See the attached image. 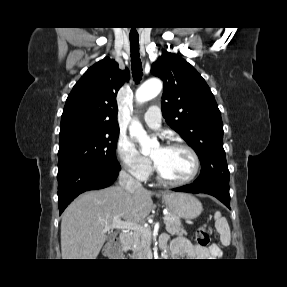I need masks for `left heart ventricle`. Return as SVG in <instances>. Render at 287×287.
Returning a JSON list of instances; mask_svg holds the SVG:
<instances>
[{
	"label": "left heart ventricle",
	"mask_w": 287,
	"mask_h": 287,
	"mask_svg": "<svg viewBox=\"0 0 287 287\" xmlns=\"http://www.w3.org/2000/svg\"><path fill=\"white\" fill-rule=\"evenodd\" d=\"M151 158L155 160L161 172L172 180H183L189 177L194 168L192 156L181 148L157 147L153 150Z\"/></svg>",
	"instance_id": "b2bd125f"
}]
</instances>
